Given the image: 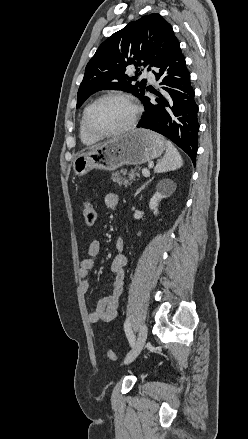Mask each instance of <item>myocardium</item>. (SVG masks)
<instances>
[{
    "label": "myocardium",
    "instance_id": "obj_1",
    "mask_svg": "<svg viewBox=\"0 0 248 439\" xmlns=\"http://www.w3.org/2000/svg\"><path fill=\"white\" fill-rule=\"evenodd\" d=\"M106 99H117V100H122L124 102H126L127 104H129L132 109H133V115L131 120L129 121V123L124 126L121 129L118 130H114V131H109V132H100L97 131L95 129H93L89 123V114L91 109L99 102L106 100ZM139 115H140V107L139 105L135 102L134 99H132L130 96L126 95V94H122V93H106L103 94L99 97H97L95 100H93L84 110L83 113V125L84 128L86 130V132L88 134H90L91 136L95 137V138H106V137H111V136H117V135H121V134H125L127 132H130L131 130H133L136 127V124L138 122L139 119Z\"/></svg>",
    "mask_w": 248,
    "mask_h": 439
}]
</instances>
